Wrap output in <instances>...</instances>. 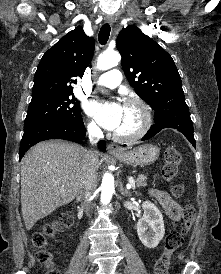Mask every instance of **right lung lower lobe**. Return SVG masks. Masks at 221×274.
Instances as JSON below:
<instances>
[{
	"label": "right lung lower lobe",
	"mask_w": 221,
	"mask_h": 274,
	"mask_svg": "<svg viewBox=\"0 0 221 274\" xmlns=\"http://www.w3.org/2000/svg\"><path fill=\"white\" fill-rule=\"evenodd\" d=\"M86 136L84 123L72 124L64 121H46L24 127V134L20 144L19 159L36 143L48 139H65L80 142ZM100 150H105L104 141L98 144Z\"/></svg>",
	"instance_id": "right-lung-lower-lobe-1"
}]
</instances>
